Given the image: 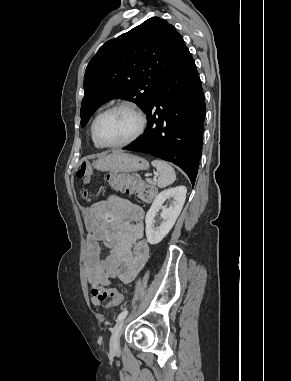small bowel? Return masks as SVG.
<instances>
[{"label":"small bowel","mask_w":291,"mask_h":381,"mask_svg":"<svg viewBox=\"0 0 291 381\" xmlns=\"http://www.w3.org/2000/svg\"><path fill=\"white\" fill-rule=\"evenodd\" d=\"M106 214L112 216V231L105 223ZM83 215L90 230L85 257V273L90 285H109V279L117 277L124 282L134 280L150 253L149 244L143 238L144 210L124 200L114 205L97 203L84 207ZM101 243L109 250L105 257L101 255ZM92 301L100 303L95 297Z\"/></svg>","instance_id":"1"}]
</instances>
